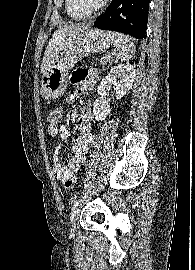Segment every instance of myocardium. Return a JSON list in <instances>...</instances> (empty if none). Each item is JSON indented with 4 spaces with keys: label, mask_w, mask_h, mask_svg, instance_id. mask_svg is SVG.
Segmentation results:
<instances>
[{
    "label": "myocardium",
    "mask_w": 195,
    "mask_h": 270,
    "mask_svg": "<svg viewBox=\"0 0 195 270\" xmlns=\"http://www.w3.org/2000/svg\"><path fill=\"white\" fill-rule=\"evenodd\" d=\"M73 1L74 5L80 12L90 16L102 10L109 0H101L97 5L93 7L86 6L82 0H73Z\"/></svg>",
    "instance_id": "obj_1"
}]
</instances>
